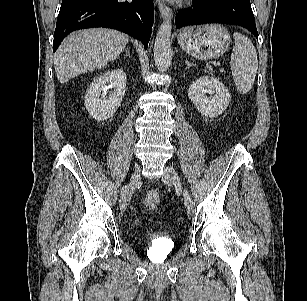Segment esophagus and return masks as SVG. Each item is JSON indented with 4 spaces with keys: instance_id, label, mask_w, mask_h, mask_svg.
<instances>
[{
    "instance_id": "obj_1",
    "label": "esophagus",
    "mask_w": 307,
    "mask_h": 301,
    "mask_svg": "<svg viewBox=\"0 0 307 301\" xmlns=\"http://www.w3.org/2000/svg\"><path fill=\"white\" fill-rule=\"evenodd\" d=\"M158 8H159L160 15L163 19L169 20L172 18L173 13L170 7H168L167 5L163 3H160Z\"/></svg>"
}]
</instances>
